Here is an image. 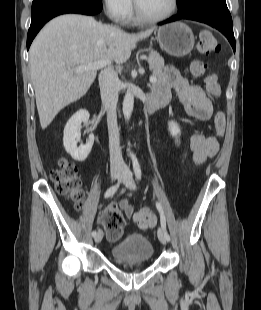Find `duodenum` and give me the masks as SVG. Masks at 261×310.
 Here are the masks:
<instances>
[{
  "label": "duodenum",
  "instance_id": "obj_1",
  "mask_svg": "<svg viewBox=\"0 0 261 310\" xmlns=\"http://www.w3.org/2000/svg\"><path fill=\"white\" fill-rule=\"evenodd\" d=\"M165 103L166 101L164 99L151 95L146 100V109L149 113H152L160 107L164 106Z\"/></svg>",
  "mask_w": 261,
  "mask_h": 310
}]
</instances>
